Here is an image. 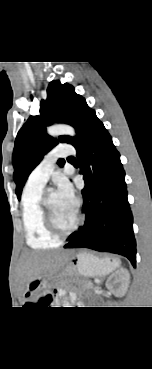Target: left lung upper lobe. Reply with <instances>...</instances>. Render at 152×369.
I'll list each match as a JSON object with an SVG mask.
<instances>
[{
  "mask_svg": "<svg viewBox=\"0 0 152 369\" xmlns=\"http://www.w3.org/2000/svg\"><path fill=\"white\" fill-rule=\"evenodd\" d=\"M85 99L75 93L72 85L60 81L50 82L47 99L40 103V115L30 116L17 134L13 151V178L17 185L16 194L20 199L23 186L31 171L40 163L43 156L58 141L46 134V126L62 122L73 126L77 136H60L63 143L76 144L88 118L94 113ZM60 166L63 160H58Z\"/></svg>",
  "mask_w": 152,
  "mask_h": 369,
  "instance_id": "obj_1",
  "label": "left lung upper lobe"
}]
</instances>
